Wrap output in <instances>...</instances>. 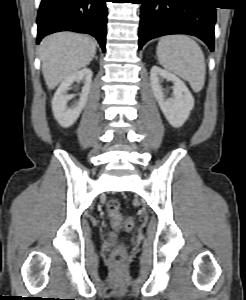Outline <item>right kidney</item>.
Here are the masks:
<instances>
[{
    "instance_id": "obj_1",
    "label": "right kidney",
    "mask_w": 246,
    "mask_h": 300,
    "mask_svg": "<svg viewBox=\"0 0 246 300\" xmlns=\"http://www.w3.org/2000/svg\"><path fill=\"white\" fill-rule=\"evenodd\" d=\"M92 76L93 72L88 68L74 72L62 81L55 92L52 99V111L55 119L62 127H70L78 119L90 93ZM80 81L84 82V86L82 87L79 101L75 106L67 107V103L74 97V95L67 94V91L74 82L79 83Z\"/></svg>"
}]
</instances>
